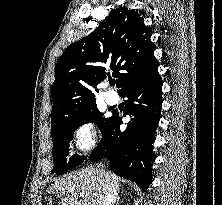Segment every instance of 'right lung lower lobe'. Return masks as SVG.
<instances>
[{"mask_svg":"<svg viewBox=\"0 0 222 205\" xmlns=\"http://www.w3.org/2000/svg\"><path fill=\"white\" fill-rule=\"evenodd\" d=\"M157 68L132 80L119 92L122 98H127L123 115L132 118L121 131L122 117L113 114L100 143L89 156L93 162L107 158L115 174L136 182L142 190L152 180V144L163 101L162 79Z\"/></svg>","mask_w":222,"mask_h":205,"instance_id":"obj_1","label":"right lung lower lobe"}]
</instances>
